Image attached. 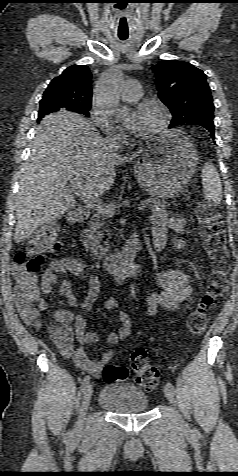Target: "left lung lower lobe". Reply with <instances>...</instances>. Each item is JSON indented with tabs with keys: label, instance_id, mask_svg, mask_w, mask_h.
<instances>
[{
	"label": "left lung lower lobe",
	"instance_id": "obj_1",
	"mask_svg": "<svg viewBox=\"0 0 238 476\" xmlns=\"http://www.w3.org/2000/svg\"><path fill=\"white\" fill-rule=\"evenodd\" d=\"M200 126H203L204 128H206L211 134H212V139H214V125L212 124H202Z\"/></svg>",
	"mask_w": 238,
	"mask_h": 476
}]
</instances>
